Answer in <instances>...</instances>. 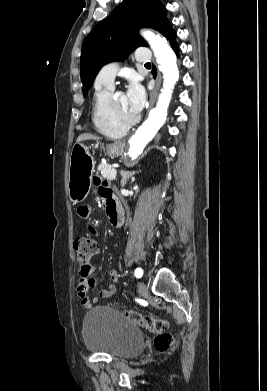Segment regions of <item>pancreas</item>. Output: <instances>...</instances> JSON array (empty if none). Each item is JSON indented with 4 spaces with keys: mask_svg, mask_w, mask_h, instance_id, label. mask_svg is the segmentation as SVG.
Here are the masks:
<instances>
[{
    "mask_svg": "<svg viewBox=\"0 0 267 391\" xmlns=\"http://www.w3.org/2000/svg\"><path fill=\"white\" fill-rule=\"evenodd\" d=\"M98 171L101 172L103 178H106L107 180H114L116 178L117 171L108 164L100 163L98 166Z\"/></svg>",
    "mask_w": 267,
    "mask_h": 391,
    "instance_id": "obj_1",
    "label": "pancreas"
}]
</instances>
